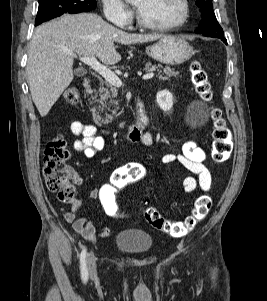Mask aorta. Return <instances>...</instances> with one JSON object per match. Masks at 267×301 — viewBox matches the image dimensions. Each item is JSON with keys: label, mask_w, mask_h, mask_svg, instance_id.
<instances>
[{"label": "aorta", "mask_w": 267, "mask_h": 301, "mask_svg": "<svg viewBox=\"0 0 267 301\" xmlns=\"http://www.w3.org/2000/svg\"><path fill=\"white\" fill-rule=\"evenodd\" d=\"M128 1L134 2L135 0H128Z\"/></svg>", "instance_id": "aorta-1"}]
</instances>
